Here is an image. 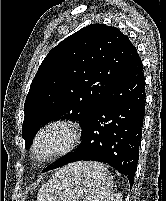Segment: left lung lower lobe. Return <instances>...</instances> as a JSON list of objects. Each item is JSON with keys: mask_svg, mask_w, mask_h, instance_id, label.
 Here are the masks:
<instances>
[{"mask_svg": "<svg viewBox=\"0 0 166 201\" xmlns=\"http://www.w3.org/2000/svg\"><path fill=\"white\" fill-rule=\"evenodd\" d=\"M144 90L143 64L137 53L82 127L78 149L43 172L81 160L99 161L127 176L133 185L145 114Z\"/></svg>", "mask_w": 166, "mask_h": 201, "instance_id": "left-lung-lower-lobe-1", "label": "left lung lower lobe"}]
</instances>
